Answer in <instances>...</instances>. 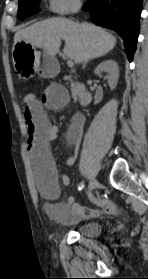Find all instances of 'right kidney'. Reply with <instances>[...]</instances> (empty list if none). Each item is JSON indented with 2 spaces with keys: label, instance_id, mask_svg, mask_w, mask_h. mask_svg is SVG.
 Instances as JSON below:
<instances>
[{
  "label": "right kidney",
  "instance_id": "1",
  "mask_svg": "<svg viewBox=\"0 0 148 279\" xmlns=\"http://www.w3.org/2000/svg\"><path fill=\"white\" fill-rule=\"evenodd\" d=\"M103 72L108 73L105 79H107L111 90H114L117 86L119 78V68L117 62L114 60H106L100 63L95 69V74L101 76Z\"/></svg>",
  "mask_w": 148,
  "mask_h": 279
}]
</instances>
